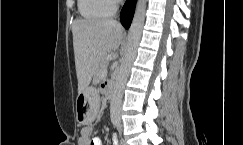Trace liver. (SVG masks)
I'll list each match as a JSON object with an SVG mask.
<instances>
[{"label": "liver", "instance_id": "1", "mask_svg": "<svg viewBox=\"0 0 243 145\" xmlns=\"http://www.w3.org/2000/svg\"><path fill=\"white\" fill-rule=\"evenodd\" d=\"M72 33L78 92L82 93L96 75L100 62L119 48L123 28L111 19H76Z\"/></svg>", "mask_w": 243, "mask_h": 145}]
</instances>
